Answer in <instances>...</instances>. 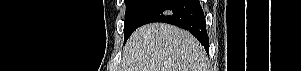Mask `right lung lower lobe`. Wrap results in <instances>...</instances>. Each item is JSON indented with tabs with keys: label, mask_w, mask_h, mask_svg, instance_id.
Listing matches in <instances>:
<instances>
[{
	"label": "right lung lower lobe",
	"mask_w": 301,
	"mask_h": 71,
	"mask_svg": "<svg viewBox=\"0 0 301 71\" xmlns=\"http://www.w3.org/2000/svg\"><path fill=\"white\" fill-rule=\"evenodd\" d=\"M151 22L169 23L188 30L209 51L206 22L199 0H157L138 27Z\"/></svg>",
	"instance_id": "right-lung-lower-lobe-1"
}]
</instances>
